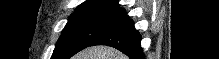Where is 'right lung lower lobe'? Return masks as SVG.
Instances as JSON below:
<instances>
[{
    "label": "right lung lower lobe",
    "instance_id": "98d812e1",
    "mask_svg": "<svg viewBox=\"0 0 219 59\" xmlns=\"http://www.w3.org/2000/svg\"><path fill=\"white\" fill-rule=\"evenodd\" d=\"M114 12L127 17V20L99 38L92 46L107 45L120 50L130 59H144L145 56L140 45L141 35L134 28L133 21L128 18L126 12L121 8L115 9Z\"/></svg>",
    "mask_w": 219,
    "mask_h": 59
}]
</instances>
